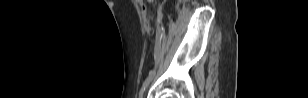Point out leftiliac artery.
Segmentation results:
<instances>
[{
  "label": "left iliac artery",
  "instance_id": "obj_1",
  "mask_svg": "<svg viewBox=\"0 0 308 98\" xmlns=\"http://www.w3.org/2000/svg\"><path fill=\"white\" fill-rule=\"evenodd\" d=\"M166 30H167V25L166 24H159L158 25V32L157 34L155 35V38L157 39L156 41V53H155V61H160V56H161V47H162V44H161V41H162V36L165 35L166 33ZM154 72L155 70L149 74V76L146 78V80L144 81L143 85H142V88H141V91H140V95L142 96L146 86L148 85V83L150 82V80L152 79L153 75H154Z\"/></svg>",
  "mask_w": 308,
  "mask_h": 98
}]
</instances>
